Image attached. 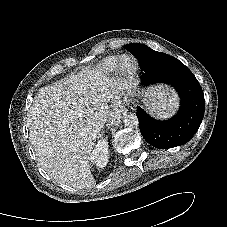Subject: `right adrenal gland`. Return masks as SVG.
Segmentation results:
<instances>
[{"label": "right adrenal gland", "instance_id": "1", "mask_svg": "<svg viewBox=\"0 0 227 227\" xmlns=\"http://www.w3.org/2000/svg\"><path fill=\"white\" fill-rule=\"evenodd\" d=\"M103 134H104L103 131L99 132V133H98V138H103Z\"/></svg>", "mask_w": 227, "mask_h": 227}]
</instances>
